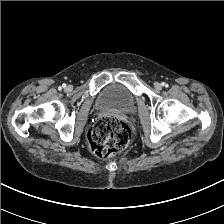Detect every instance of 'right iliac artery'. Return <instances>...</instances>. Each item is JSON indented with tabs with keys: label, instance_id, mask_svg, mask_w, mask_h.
Here are the masks:
<instances>
[{
	"label": "right iliac artery",
	"instance_id": "obj_1",
	"mask_svg": "<svg viewBox=\"0 0 224 224\" xmlns=\"http://www.w3.org/2000/svg\"><path fill=\"white\" fill-rule=\"evenodd\" d=\"M62 86L65 88L66 87V84H63Z\"/></svg>",
	"mask_w": 224,
	"mask_h": 224
}]
</instances>
